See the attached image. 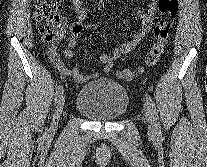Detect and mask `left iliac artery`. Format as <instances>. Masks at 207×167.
<instances>
[{"label": "left iliac artery", "instance_id": "44dca946", "mask_svg": "<svg viewBox=\"0 0 207 167\" xmlns=\"http://www.w3.org/2000/svg\"><path fill=\"white\" fill-rule=\"evenodd\" d=\"M145 99L147 101V105H149V108L152 112L154 121H155V131L157 133V136H161V128H160V122H159V116L158 112L155 106V103L153 102V99L151 95L148 92H145Z\"/></svg>", "mask_w": 207, "mask_h": 167}]
</instances>
